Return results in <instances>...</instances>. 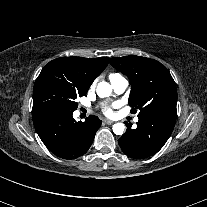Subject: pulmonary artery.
Listing matches in <instances>:
<instances>
[{
    "label": "pulmonary artery",
    "mask_w": 207,
    "mask_h": 207,
    "mask_svg": "<svg viewBox=\"0 0 207 207\" xmlns=\"http://www.w3.org/2000/svg\"><path fill=\"white\" fill-rule=\"evenodd\" d=\"M111 86L116 95H121L126 91L128 82L124 77L115 75L111 79ZM138 120L139 119L137 117L134 119L135 122H138Z\"/></svg>",
    "instance_id": "obj_1"
}]
</instances>
